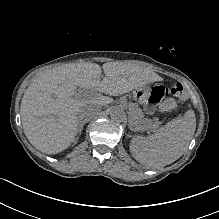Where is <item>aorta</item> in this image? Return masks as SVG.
Here are the masks:
<instances>
[{
  "instance_id": "762f6f07",
  "label": "aorta",
  "mask_w": 219,
  "mask_h": 219,
  "mask_svg": "<svg viewBox=\"0 0 219 219\" xmlns=\"http://www.w3.org/2000/svg\"><path fill=\"white\" fill-rule=\"evenodd\" d=\"M109 114L112 120L116 122H123L126 120V114L123 108L119 106H112L109 109Z\"/></svg>"
}]
</instances>
